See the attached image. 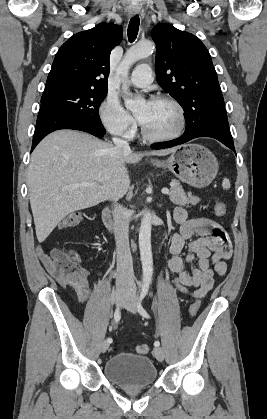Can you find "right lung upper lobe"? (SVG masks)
Listing matches in <instances>:
<instances>
[{
	"label": "right lung upper lobe",
	"mask_w": 267,
	"mask_h": 419,
	"mask_svg": "<svg viewBox=\"0 0 267 419\" xmlns=\"http://www.w3.org/2000/svg\"><path fill=\"white\" fill-rule=\"evenodd\" d=\"M122 28L102 23L70 37L58 50L44 92L107 90L109 56L122 40Z\"/></svg>",
	"instance_id": "right-lung-upper-lobe-1"
}]
</instances>
